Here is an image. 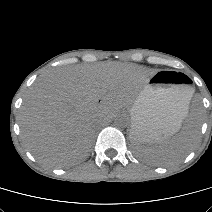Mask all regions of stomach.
<instances>
[{
  "label": "stomach",
  "instance_id": "1",
  "mask_svg": "<svg viewBox=\"0 0 212 212\" xmlns=\"http://www.w3.org/2000/svg\"><path fill=\"white\" fill-rule=\"evenodd\" d=\"M184 74L158 71L148 79L131 109L130 139L136 145L168 140L184 119L187 96L193 88Z\"/></svg>",
  "mask_w": 212,
  "mask_h": 212
}]
</instances>
